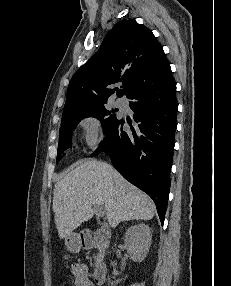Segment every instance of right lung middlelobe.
<instances>
[{"mask_svg":"<svg viewBox=\"0 0 231 286\" xmlns=\"http://www.w3.org/2000/svg\"><path fill=\"white\" fill-rule=\"evenodd\" d=\"M106 103V102H105ZM114 112V111H113ZM92 116L101 120L104 126V133H106L113 123L117 120L116 115L112 114L104 107V103L85 108L68 115L62 116L61 129L58 144V156L56 161H59L61 150L71 146L72 131L76 128L77 124L82 118Z\"/></svg>","mask_w":231,"mask_h":286,"instance_id":"1","label":"right lung middle lobe"}]
</instances>
